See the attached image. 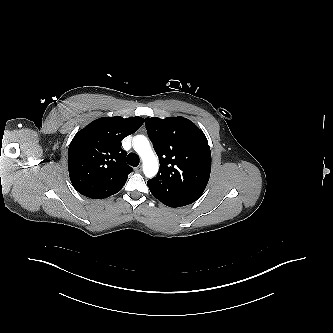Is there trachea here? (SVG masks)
<instances>
[{"instance_id": "trachea-1", "label": "trachea", "mask_w": 333, "mask_h": 333, "mask_svg": "<svg viewBox=\"0 0 333 333\" xmlns=\"http://www.w3.org/2000/svg\"><path fill=\"white\" fill-rule=\"evenodd\" d=\"M127 163L133 167H137L139 165V157L135 153H130L127 156Z\"/></svg>"}]
</instances>
